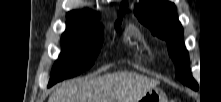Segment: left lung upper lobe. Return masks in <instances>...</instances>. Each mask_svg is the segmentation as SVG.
<instances>
[{
	"mask_svg": "<svg viewBox=\"0 0 221 102\" xmlns=\"http://www.w3.org/2000/svg\"><path fill=\"white\" fill-rule=\"evenodd\" d=\"M135 14L154 35L167 42L169 55L176 64V77L184 85L198 90V83L189 69V58L182 40L183 29L175 5L168 1L148 0L136 6Z\"/></svg>",
	"mask_w": 221,
	"mask_h": 102,
	"instance_id": "obj_1",
	"label": "left lung upper lobe"
}]
</instances>
